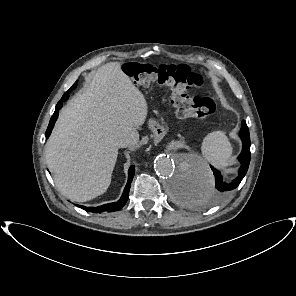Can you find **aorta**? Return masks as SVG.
<instances>
[{
	"label": "aorta",
	"mask_w": 296,
	"mask_h": 296,
	"mask_svg": "<svg viewBox=\"0 0 296 296\" xmlns=\"http://www.w3.org/2000/svg\"><path fill=\"white\" fill-rule=\"evenodd\" d=\"M154 169L164 179L170 197L185 207L201 205L214 188L211 170L193 154L159 155Z\"/></svg>",
	"instance_id": "obj_1"
}]
</instances>
